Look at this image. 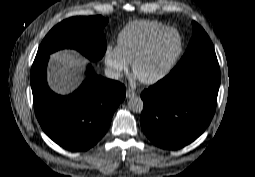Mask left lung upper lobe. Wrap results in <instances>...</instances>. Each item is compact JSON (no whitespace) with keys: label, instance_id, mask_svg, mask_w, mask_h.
Wrapping results in <instances>:
<instances>
[{"label":"left lung upper lobe","instance_id":"1","mask_svg":"<svg viewBox=\"0 0 255 177\" xmlns=\"http://www.w3.org/2000/svg\"><path fill=\"white\" fill-rule=\"evenodd\" d=\"M205 61H217V57L207 33L198 23L193 22V35L189 46L182 59L171 72L192 63Z\"/></svg>","mask_w":255,"mask_h":177}]
</instances>
